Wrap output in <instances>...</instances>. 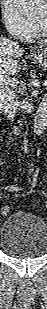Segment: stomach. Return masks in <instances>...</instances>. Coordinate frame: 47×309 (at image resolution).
Segmentation results:
<instances>
[{
	"mask_svg": "<svg viewBox=\"0 0 47 309\" xmlns=\"http://www.w3.org/2000/svg\"><path fill=\"white\" fill-rule=\"evenodd\" d=\"M32 60L39 66L47 68V47L35 52Z\"/></svg>",
	"mask_w": 47,
	"mask_h": 309,
	"instance_id": "0dacf381",
	"label": "stomach"
}]
</instances>
